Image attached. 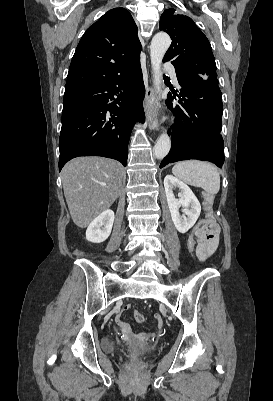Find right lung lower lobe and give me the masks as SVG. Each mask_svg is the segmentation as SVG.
Instances as JSON below:
<instances>
[{
  "label": "right lung lower lobe",
  "mask_w": 273,
  "mask_h": 401,
  "mask_svg": "<svg viewBox=\"0 0 273 401\" xmlns=\"http://www.w3.org/2000/svg\"><path fill=\"white\" fill-rule=\"evenodd\" d=\"M144 95L138 61L101 85L64 98L59 171L78 156L113 158L126 166L131 130L136 121L144 122Z\"/></svg>",
  "instance_id": "obj_1"
}]
</instances>
